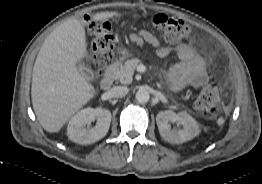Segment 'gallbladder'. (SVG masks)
<instances>
[{
    "instance_id": "1",
    "label": "gallbladder",
    "mask_w": 262,
    "mask_h": 184,
    "mask_svg": "<svg viewBox=\"0 0 262 184\" xmlns=\"http://www.w3.org/2000/svg\"><path fill=\"white\" fill-rule=\"evenodd\" d=\"M77 69L79 73L87 80H90L92 78V72L90 69H88L86 66H84L81 63H77Z\"/></svg>"
}]
</instances>
